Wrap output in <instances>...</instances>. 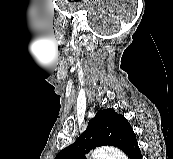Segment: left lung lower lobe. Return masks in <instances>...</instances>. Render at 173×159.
Wrapping results in <instances>:
<instances>
[{
    "label": "left lung lower lobe",
    "instance_id": "left-lung-lower-lobe-1",
    "mask_svg": "<svg viewBox=\"0 0 173 159\" xmlns=\"http://www.w3.org/2000/svg\"><path fill=\"white\" fill-rule=\"evenodd\" d=\"M126 155L129 157V159H142L138 144H135Z\"/></svg>",
    "mask_w": 173,
    "mask_h": 159
}]
</instances>
